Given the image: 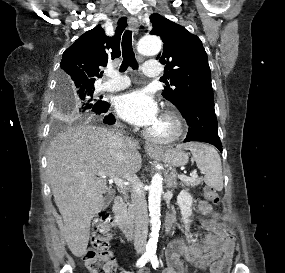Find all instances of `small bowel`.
Instances as JSON below:
<instances>
[{"label": "small bowel", "instance_id": "obj_1", "mask_svg": "<svg viewBox=\"0 0 285 273\" xmlns=\"http://www.w3.org/2000/svg\"><path fill=\"white\" fill-rule=\"evenodd\" d=\"M197 211L205 216L201 226L207 231L202 242L186 243L183 240L172 242L166 252L168 267L165 273H184L185 267L181 260L184 257L194 267L201 271L209 269V273H227L233 255L234 242L225 235L224 226L213 215L211 205L199 201ZM140 273H150L143 269Z\"/></svg>", "mask_w": 285, "mask_h": 273}]
</instances>
